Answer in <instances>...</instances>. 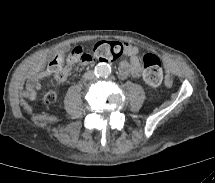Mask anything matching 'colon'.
<instances>
[{
	"label": "colon",
	"instance_id": "1",
	"mask_svg": "<svg viewBox=\"0 0 215 183\" xmlns=\"http://www.w3.org/2000/svg\"><path fill=\"white\" fill-rule=\"evenodd\" d=\"M124 50L125 46L120 42L101 40L94 44L91 52H85L81 47H76L72 50L71 55L76 62H113L123 54ZM68 59L69 57H66L62 51H55L49 62V70L53 74L60 73L67 65ZM142 62L145 82L153 87L160 85L163 77L160 59L152 53H146L143 54ZM57 95L56 90L49 91L43 97L41 106L48 107L54 103Z\"/></svg>",
	"mask_w": 215,
	"mask_h": 183
}]
</instances>
